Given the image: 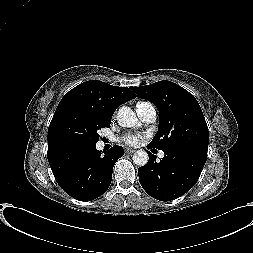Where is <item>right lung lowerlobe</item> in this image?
Returning a JSON list of instances; mask_svg holds the SVG:
<instances>
[{
  "label": "right lung lower lobe",
  "instance_id": "right-lung-lower-lobe-1",
  "mask_svg": "<svg viewBox=\"0 0 253 253\" xmlns=\"http://www.w3.org/2000/svg\"><path fill=\"white\" fill-rule=\"evenodd\" d=\"M123 154L121 146H114L102 155L95 144L63 147L47 156L59 186L79 201H91L107 191L113 166Z\"/></svg>",
  "mask_w": 253,
  "mask_h": 253
}]
</instances>
